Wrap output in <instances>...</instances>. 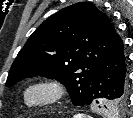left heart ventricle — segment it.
<instances>
[{
    "label": "left heart ventricle",
    "mask_w": 133,
    "mask_h": 118,
    "mask_svg": "<svg viewBox=\"0 0 133 118\" xmlns=\"http://www.w3.org/2000/svg\"><path fill=\"white\" fill-rule=\"evenodd\" d=\"M39 96H40V93H39V92H33V93L31 94V97H32L33 99H37Z\"/></svg>",
    "instance_id": "1"
}]
</instances>
